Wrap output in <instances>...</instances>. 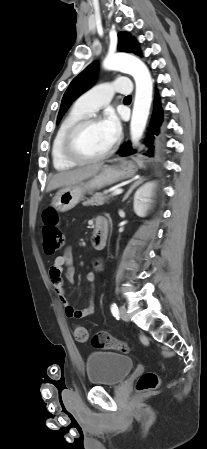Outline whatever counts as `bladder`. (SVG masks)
I'll return each mask as SVG.
<instances>
[{"mask_svg":"<svg viewBox=\"0 0 207 449\" xmlns=\"http://www.w3.org/2000/svg\"><path fill=\"white\" fill-rule=\"evenodd\" d=\"M85 366L91 385L116 386L134 369V360L116 352H91L86 357Z\"/></svg>","mask_w":207,"mask_h":449,"instance_id":"obj_1","label":"bladder"}]
</instances>
